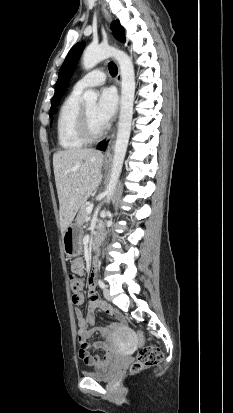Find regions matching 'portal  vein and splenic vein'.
<instances>
[{"instance_id":"obj_1","label":"portal vein and splenic vein","mask_w":233,"mask_h":413,"mask_svg":"<svg viewBox=\"0 0 233 413\" xmlns=\"http://www.w3.org/2000/svg\"><path fill=\"white\" fill-rule=\"evenodd\" d=\"M92 210H93V204H90V205L87 207L86 211H87L88 213H91Z\"/></svg>"}]
</instances>
